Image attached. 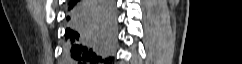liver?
Instances as JSON below:
<instances>
[{
	"instance_id": "6515ba94",
	"label": "liver",
	"mask_w": 242,
	"mask_h": 64,
	"mask_svg": "<svg viewBox=\"0 0 242 64\" xmlns=\"http://www.w3.org/2000/svg\"><path fill=\"white\" fill-rule=\"evenodd\" d=\"M84 27L87 28L90 34H101L107 30L98 10H94L90 13L89 17L85 20Z\"/></svg>"
}]
</instances>
